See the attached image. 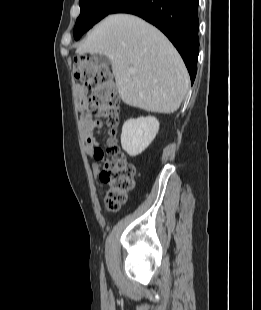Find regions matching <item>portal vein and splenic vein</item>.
<instances>
[{"instance_id": "portal-vein-and-splenic-vein-1", "label": "portal vein and splenic vein", "mask_w": 261, "mask_h": 310, "mask_svg": "<svg viewBox=\"0 0 261 310\" xmlns=\"http://www.w3.org/2000/svg\"><path fill=\"white\" fill-rule=\"evenodd\" d=\"M129 72H130V73H134V72H135V69H134V68H130V69H129Z\"/></svg>"}]
</instances>
